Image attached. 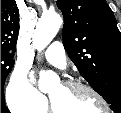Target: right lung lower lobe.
<instances>
[{
  "mask_svg": "<svg viewBox=\"0 0 121 113\" xmlns=\"http://www.w3.org/2000/svg\"><path fill=\"white\" fill-rule=\"evenodd\" d=\"M1 113H10L4 101H1Z\"/></svg>",
  "mask_w": 121,
  "mask_h": 113,
  "instance_id": "98d812e1",
  "label": "right lung lower lobe"
}]
</instances>
